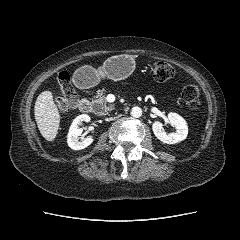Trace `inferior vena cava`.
<instances>
[{
	"label": "inferior vena cava",
	"mask_w": 240,
	"mask_h": 240,
	"mask_svg": "<svg viewBox=\"0 0 240 240\" xmlns=\"http://www.w3.org/2000/svg\"><path fill=\"white\" fill-rule=\"evenodd\" d=\"M108 120H113V118H109Z\"/></svg>",
	"instance_id": "602c4592"
}]
</instances>
